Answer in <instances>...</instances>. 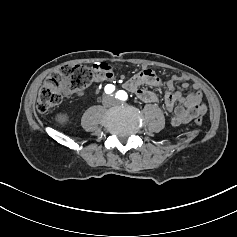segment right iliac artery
<instances>
[{
	"label": "right iliac artery",
	"mask_w": 237,
	"mask_h": 237,
	"mask_svg": "<svg viewBox=\"0 0 237 237\" xmlns=\"http://www.w3.org/2000/svg\"><path fill=\"white\" fill-rule=\"evenodd\" d=\"M104 90H105V93L111 94L115 90V86L112 84H107Z\"/></svg>",
	"instance_id": "82829eb1"
}]
</instances>
